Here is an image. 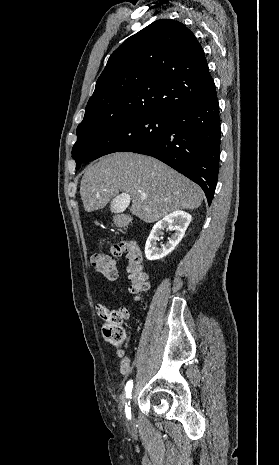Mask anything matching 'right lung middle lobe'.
Masks as SVG:
<instances>
[{
	"instance_id": "right-lung-middle-lobe-1",
	"label": "right lung middle lobe",
	"mask_w": 279,
	"mask_h": 465,
	"mask_svg": "<svg viewBox=\"0 0 279 465\" xmlns=\"http://www.w3.org/2000/svg\"><path fill=\"white\" fill-rule=\"evenodd\" d=\"M168 114L140 113L117 121L77 130L72 149L76 169L103 155L143 147L168 128Z\"/></svg>"
}]
</instances>
